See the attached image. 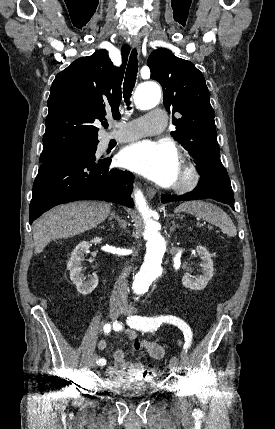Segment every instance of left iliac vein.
I'll use <instances>...</instances> for the list:
<instances>
[{
    "instance_id": "obj_1",
    "label": "left iliac vein",
    "mask_w": 275,
    "mask_h": 429,
    "mask_svg": "<svg viewBox=\"0 0 275 429\" xmlns=\"http://www.w3.org/2000/svg\"><path fill=\"white\" fill-rule=\"evenodd\" d=\"M135 312H136V309L133 306H130V305H125L122 308V311H121V313L124 314V315H132ZM169 366H170L171 371L177 372L178 369H179V360H178V358L175 357V356L172 357L170 359Z\"/></svg>"
}]
</instances>
